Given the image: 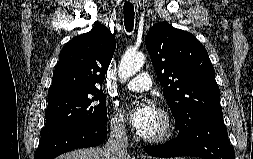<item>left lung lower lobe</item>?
Returning <instances> with one entry per match:
<instances>
[{"mask_svg": "<svg viewBox=\"0 0 253 159\" xmlns=\"http://www.w3.org/2000/svg\"><path fill=\"white\" fill-rule=\"evenodd\" d=\"M178 136L158 146L145 147L154 157L195 156L205 159H235L228 140L223 113L196 116L179 128Z\"/></svg>", "mask_w": 253, "mask_h": 159, "instance_id": "left-lung-lower-lobe-1", "label": "left lung lower lobe"}]
</instances>
